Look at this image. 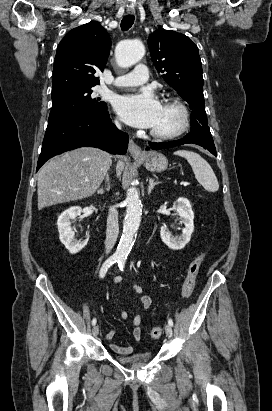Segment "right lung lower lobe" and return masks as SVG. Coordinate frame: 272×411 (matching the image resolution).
Wrapping results in <instances>:
<instances>
[{"label":"right lung lower lobe","instance_id":"98d812e1","mask_svg":"<svg viewBox=\"0 0 272 411\" xmlns=\"http://www.w3.org/2000/svg\"><path fill=\"white\" fill-rule=\"evenodd\" d=\"M128 134L117 129L105 108L100 112L73 114L48 123L37 170L51 157L82 146L125 154Z\"/></svg>","mask_w":272,"mask_h":411}]
</instances>
